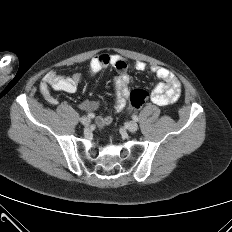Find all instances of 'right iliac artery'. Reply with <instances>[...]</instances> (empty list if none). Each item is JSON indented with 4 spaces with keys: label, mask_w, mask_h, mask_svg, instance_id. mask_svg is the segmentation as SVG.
<instances>
[{
    "label": "right iliac artery",
    "mask_w": 232,
    "mask_h": 232,
    "mask_svg": "<svg viewBox=\"0 0 232 232\" xmlns=\"http://www.w3.org/2000/svg\"><path fill=\"white\" fill-rule=\"evenodd\" d=\"M87 116H88L89 118H94V117H95V115H94L93 113H89Z\"/></svg>",
    "instance_id": "82829eb1"
}]
</instances>
